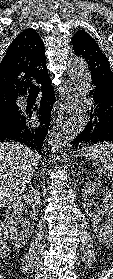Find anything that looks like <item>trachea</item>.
Segmentation results:
<instances>
[{
  "mask_svg": "<svg viewBox=\"0 0 113 279\" xmlns=\"http://www.w3.org/2000/svg\"><path fill=\"white\" fill-rule=\"evenodd\" d=\"M30 89H38V86H36V85H34V84H31V87H30Z\"/></svg>",
  "mask_w": 113,
  "mask_h": 279,
  "instance_id": "3493384b",
  "label": "trachea"
}]
</instances>
